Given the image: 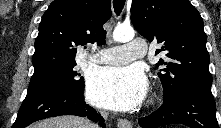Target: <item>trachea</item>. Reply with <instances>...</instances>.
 I'll list each match as a JSON object with an SVG mask.
<instances>
[{
	"label": "trachea",
	"instance_id": "obj_1",
	"mask_svg": "<svg viewBox=\"0 0 221 128\" xmlns=\"http://www.w3.org/2000/svg\"><path fill=\"white\" fill-rule=\"evenodd\" d=\"M113 5H114L115 13L117 15H120V13L122 12V9L125 5V0H114Z\"/></svg>",
	"mask_w": 221,
	"mask_h": 128
}]
</instances>
